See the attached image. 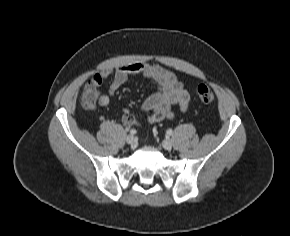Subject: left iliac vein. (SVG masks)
Returning a JSON list of instances; mask_svg holds the SVG:
<instances>
[{
	"mask_svg": "<svg viewBox=\"0 0 290 236\" xmlns=\"http://www.w3.org/2000/svg\"><path fill=\"white\" fill-rule=\"evenodd\" d=\"M162 146L166 150H170L172 148V141L170 139H165L162 142Z\"/></svg>",
	"mask_w": 290,
	"mask_h": 236,
	"instance_id": "4c4485c4",
	"label": "left iliac vein"
}]
</instances>
